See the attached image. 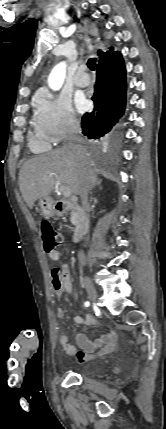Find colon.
Masks as SVG:
<instances>
[{
    "mask_svg": "<svg viewBox=\"0 0 166 429\" xmlns=\"http://www.w3.org/2000/svg\"><path fill=\"white\" fill-rule=\"evenodd\" d=\"M40 234L44 249L47 253L56 250L63 242L61 234L55 231L48 221H42L40 225Z\"/></svg>",
    "mask_w": 166,
    "mask_h": 429,
    "instance_id": "1",
    "label": "colon"
}]
</instances>
